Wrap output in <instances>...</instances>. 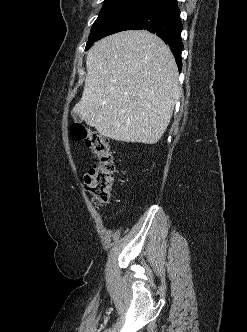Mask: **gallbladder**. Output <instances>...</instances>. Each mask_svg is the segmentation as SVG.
Instances as JSON below:
<instances>
[{
	"mask_svg": "<svg viewBox=\"0 0 247 332\" xmlns=\"http://www.w3.org/2000/svg\"><path fill=\"white\" fill-rule=\"evenodd\" d=\"M73 117L76 120L78 118V115L76 113L73 112Z\"/></svg>",
	"mask_w": 247,
	"mask_h": 332,
	"instance_id": "gallbladder-1",
	"label": "gallbladder"
}]
</instances>
